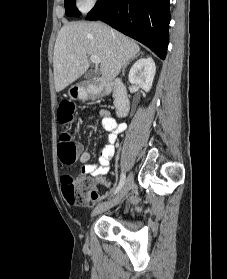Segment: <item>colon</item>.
Masks as SVG:
<instances>
[{
    "label": "colon",
    "instance_id": "5ec220e1",
    "mask_svg": "<svg viewBox=\"0 0 227 279\" xmlns=\"http://www.w3.org/2000/svg\"><path fill=\"white\" fill-rule=\"evenodd\" d=\"M75 108L74 105L68 101L61 103L58 110V121L61 125L69 124L74 118ZM80 152V147L75 141L74 137L67 131L63 132L58 140V158L63 165L70 166L72 165ZM81 189L82 192L75 196V192L78 189ZM63 190L69 191L74 194L75 203H84L87 200H93L99 195L96 191L88 190L86 187H83L82 184L70 177L66 176L63 183Z\"/></svg>",
    "mask_w": 227,
    "mask_h": 279
}]
</instances>
